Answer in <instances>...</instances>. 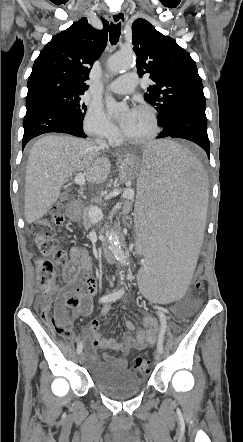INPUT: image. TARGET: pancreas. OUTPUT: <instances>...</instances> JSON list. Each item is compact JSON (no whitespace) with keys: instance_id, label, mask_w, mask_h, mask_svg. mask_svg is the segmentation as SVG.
Returning <instances> with one entry per match:
<instances>
[{"instance_id":"obj_1","label":"pancreas","mask_w":243,"mask_h":442,"mask_svg":"<svg viewBox=\"0 0 243 442\" xmlns=\"http://www.w3.org/2000/svg\"><path fill=\"white\" fill-rule=\"evenodd\" d=\"M125 205H126L127 207H128V206H131V202H126ZM90 208H91V207H86V208H84V209H83V214H82L83 225H84V227H85L86 229H89V228H91V227L94 225L93 221H92L91 218L89 217V210H90Z\"/></svg>"}]
</instances>
